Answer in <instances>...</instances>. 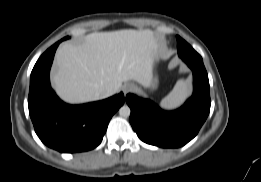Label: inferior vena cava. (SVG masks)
Here are the masks:
<instances>
[{"instance_id":"1","label":"inferior vena cava","mask_w":261,"mask_h":182,"mask_svg":"<svg viewBox=\"0 0 261 182\" xmlns=\"http://www.w3.org/2000/svg\"><path fill=\"white\" fill-rule=\"evenodd\" d=\"M112 95V91L110 89H107L105 90L103 93H102V97L106 98V97H109Z\"/></svg>"}]
</instances>
